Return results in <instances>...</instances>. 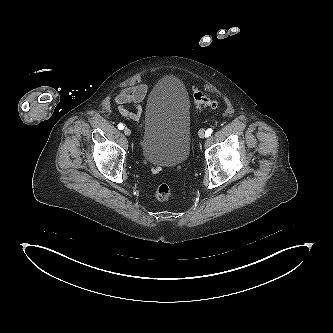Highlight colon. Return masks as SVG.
Wrapping results in <instances>:
<instances>
[{"label":"colon","mask_w":333,"mask_h":333,"mask_svg":"<svg viewBox=\"0 0 333 333\" xmlns=\"http://www.w3.org/2000/svg\"><path fill=\"white\" fill-rule=\"evenodd\" d=\"M194 102L199 109H217L218 102L203 93L202 91L196 90L194 92ZM153 174H157L160 172V169L157 167L151 168ZM173 195V190L171 186L167 183H162L158 186L156 190V198L159 201H168Z\"/></svg>","instance_id":"5ec220e1"}]
</instances>
